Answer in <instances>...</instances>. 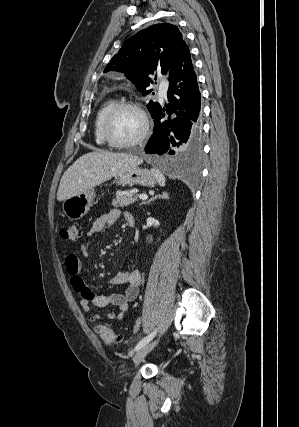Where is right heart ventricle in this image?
Returning a JSON list of instances; mask_svg holds the SVG:
<instances>
[{
    "label": "right heart ventricle",
    "mask_w": 299,
    "mask_h": 427,
    "mask_svg": "<svg viewBox=\"0 0 299 427\" xmlns=\"http://www.w3.org/2000/svg\"><path fill=\"white\" fill-rule=\"evenodd\" d=\"M114 98L106 99L97 109L94 118V140L95 143L101 148H109L108 143L105 141L102 133V125L107 112L116 104Z\"/></svg>",
    "instance_id": "right-heart-ventricle-1"
}]
</instances>
